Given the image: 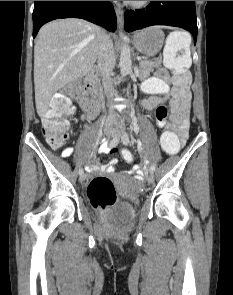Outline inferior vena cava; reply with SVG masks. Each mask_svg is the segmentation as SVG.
Here are the masks:
<instances>
[{
    "label": "inferior vena cava",
    "instance_id": "1",
    "mask_svg": "<svg viewBox=\"0 0 233 295\" xmlns=\"http://www.w3.org/2000/svg\"><path fill=\"white\" fill-rule=\"evenodd\" d=\"M101 31L102 34L99 44L97 65L100 71L104 92L107 98L111 99L114 96V87L111 81V75L115 65V55L112 40L104 30ZM114 116L115 112L110 110L109 117L113 118Z\"/></svg>",
    "mask_w": 233,
    "mask_h": 295
}]
</instances>
